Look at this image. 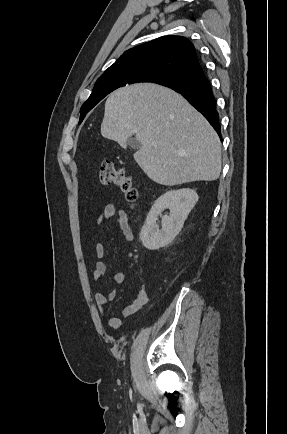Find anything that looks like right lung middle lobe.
Listing matches in <instances>:
<instances>
[{
  "mask_svg": "<svg viewBox=\"0 0 287 434\" xmlns=\"http://www.w3.org/2000/svg\"><path fill=\"white\" fill-rule=\"evenodd\" d=\"M180 78L181 76L178 74L155 69H148L133 73L116 74L99 78L90 97L81 107L80 122L97 103H99L105 96L119 87L141 82L162 84L169 81H178Z\"/></svg>",
  "mask_w": 287,
  "mask_h": 434,
  "instance_id": "dd1d6c3e",
  "label": "right lung middle lobe"
}]
</instances>
